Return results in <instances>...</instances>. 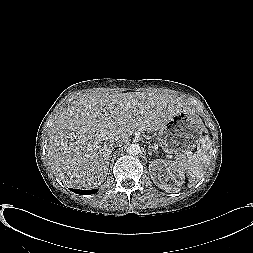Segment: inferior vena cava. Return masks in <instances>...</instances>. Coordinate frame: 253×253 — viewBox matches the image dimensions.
Instances as JSON below:
<instances>
[{
    "label": "inferior vena cava",
    "instance_id": "inferior-vena-cava-1",
    "mask_svg": "<svg viewBox=\"0 0 253 253\" xmlns=\"http://www.w3.org/2000/svg\"><path fill=\"white\" fill-rule=\"evenodd\" d=\"M112 145H113L114 147H119V146L121 145V140H120L119 138H114V139L112 140Z\"/></svg>",
    "mask_w": 253,
    "mask_h": 253
}]
</instances>
